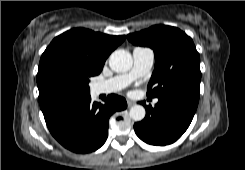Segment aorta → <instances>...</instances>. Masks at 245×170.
Here are the masks:
<instances>
[{"mask_svg": "<svg viewBox=\"0 0 245 170\" xmlns=\"http://www.w3.org/2000/svg\"><path fill=\"white\" fill-rule=\"evenodd\" d=\"M133 64L131 54L124 50H115L109 57V66L115 72H126L130 70ZM145 108L141 105H133L130 108V118L134 121H142L145 117Z\"/></svg>", "mask_w": 245, "mask_h": 170, "instance_id": "762f6f07", "label": "aorta"}]
</instances>
